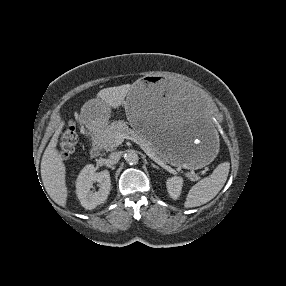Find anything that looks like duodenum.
<instances>
[{
    "instance_id": "obj_1",
    "label": "duodenum",
    "mask_w": 286,
    "mask_h": 286,
    "mask_svg": "<svg viewBox=\"0 0 286 286\" xmlns=\"http://www.w3.org/2000/svg\"><path fill=\"white\" fill-rule=\"evenodd\" d=\"M101 154V147L98 141V136L95 134L92 136V146L90 149V157L97 158Z\"/></svg>"
}]
</instances>
